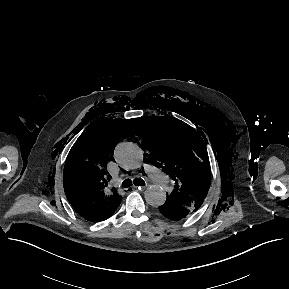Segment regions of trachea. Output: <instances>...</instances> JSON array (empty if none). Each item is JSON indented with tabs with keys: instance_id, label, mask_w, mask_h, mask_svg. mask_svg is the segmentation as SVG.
Instances as JSON below:
<instances>
[{
	"instance_id": "3493384b",
	"label": "trachea",
	"mask_w": 289,
	"mask_h": 289,
	"mask_svg": "<svg viewBox=\"0 0 289 289\" xmlns=\"http://www.w3.org/2000/svg\"><path fill=\"white\" fill-rule=\"evenodd\" d=\"M132 184L136 186H144L145 182L141 178H135L133 181L131 179H126L122 182V187L128 188L132 186Z\"/></svg>"
}]
</instances>
